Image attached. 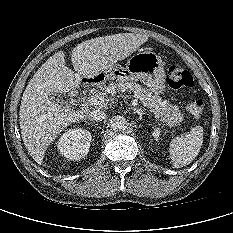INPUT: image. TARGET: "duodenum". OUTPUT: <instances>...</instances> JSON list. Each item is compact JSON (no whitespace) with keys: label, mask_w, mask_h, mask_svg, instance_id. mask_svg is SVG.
Masks as SVG:
<instances>
[{"label":"duodenum","mask_w":233,"mask_h":233,"mask_svg":"<svg viewBox=\"0 0 233 233\" xmlns=\"http://www.w3.org/2000/svg\"><path fill=\"white\" fill-rule=\"evenodd\" d=\"M100 80V78L97 76L93 79L88 80L89 83H97Z\"/></svg>","instance_id":"1"}]
</instances>
